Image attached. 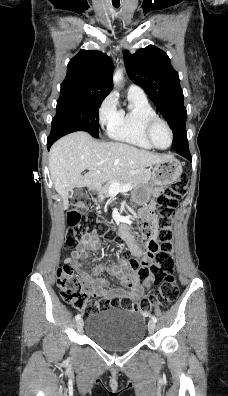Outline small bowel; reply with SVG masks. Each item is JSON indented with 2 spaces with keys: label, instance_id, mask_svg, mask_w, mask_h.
I'll return each mask as SVG.
<instances>
[{
  "label": "small bowel",
  "instance_id": "small-bowel-1",
  "mask_svg": "<svg viewBox=\"0 0 228 396\" xmlns=\"http://www.w3.org/2000/svg\"><path fill=\"white\" fill-rule=\"evenodd\" d=\"M161 188L156 189L155 193L159 194ZM155 209V202L151 201L143 210L142 213L151 216V232L153 238L157 234V224L153 211ZM120 236L126 242L130 252L133 256L141 258L144 262L150 263L154 253L149 252L146 248L140 247L134 240L130 229L127 225L120 227ZM100 248V240L95 231H90L86 234V241L80 243L77 248L71 252L69 256L64 259V263L71 265L81 275L84 281L86 291L92 296H101L106 299L130 295L132 298H139L143 289L138 285V279L134 273L125 272L126 262L121 261L110 267L99 266L93 272L85 269L81 260L88 256L90 251H96ZM102 271L109 272L112 276L120 281L122 287L108 289V281L105 278L99 277L98 273ZM154 281L148 282L149 287Z\"/></svg>",
  "mask_w": 228,
  "mask_h": 396
}]
</instances>
